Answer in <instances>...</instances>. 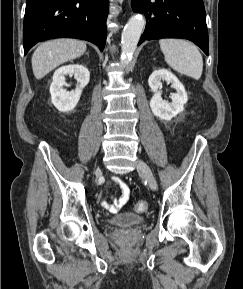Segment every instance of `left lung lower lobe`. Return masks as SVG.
Returning <instances> with one entry per match:
<instances>
[{"mask_svg":"<svg viewBox=\"0 0 243 289\" xmlns=\"http://www.w3.org/2000/svg\"><path fill=\"white\" fill-rule=\"evenodd\" d=\"M132 8L147 20L139 44L158 38H184L209 55L203 0H132Z\"/></svg>","mask_w":243,"mask_h":289,"instance_id":"0a47b994","label":"left lung lower lobe"}]
</instances>
